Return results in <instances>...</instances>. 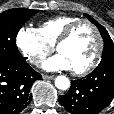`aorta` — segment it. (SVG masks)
<instances>
[{
	"label": "aorta",
	"instance_id": "obj_1",
	"mask_svg": "<svg viewBox=\"0 0 114 114\" xmlns=\"http://www.w3.org/2000/svg\"><path fill=\"white\" fill-rule=\"evenodd\" d=\"M55 86L60 90H67L70 87V81L66 76H57Z\"/></svg>",
	"mask_w": 114,
	"mask_h": 114
}]
</instances>
